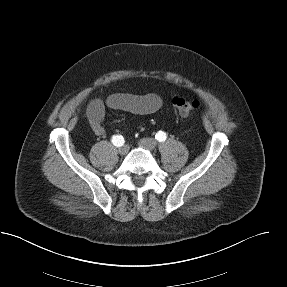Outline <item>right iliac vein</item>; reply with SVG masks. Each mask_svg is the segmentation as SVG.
<instances>
[{
    "instance_id": "63e3f726",
    "label": "right iliac vein",
    "mask_w": 287,
    "mask_h": 287,
    "mask_svg": "<svg viewBox=\"0 0 287 287\" xmlns=\"http://www.w3.org/2000/svg\"><path fill=\"white\" fill-rule=\"evenodd\" d=\"M129 147L127 145H124L122 147L119 148V154L120 155H125L128 153Z\"/></svg>"
}]
</instances>
